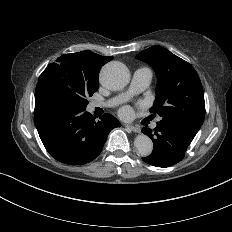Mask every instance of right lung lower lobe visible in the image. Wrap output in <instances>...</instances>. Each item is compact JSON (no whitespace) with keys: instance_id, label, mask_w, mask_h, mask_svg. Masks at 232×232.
<instances>
[{"instance_id":"98d812e1","label":"right lung lower lobe","mask_w":232,"mask_h":232,"mask_svg":"<svg viewBox=\"0 0 232 232\" xmlns=\"http://www.w3.org/2000/svg\"><path fill=\"white\" fill-rule=\"evenodd\" d=\"M85 109L49 93L35 94V126L46 150L62 163L83 165L94 160L109 132L121 126L111 114L95 121Z\"/></svg>"}]
</instances>
